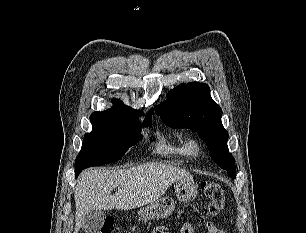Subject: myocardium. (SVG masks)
Instances as JSON below:
<instances>
[{
	"instance_id": "obj_1",
	"label": "myocardium",
	"mask_w": 306,
	"mask_h": 233,
	"mask_svg": "<svg viewBox=\"0 0 306 233\" xmlns=\"http://www.w3.org/2000/svg\"><path fill=\"white\" fill-rule=\"evenodd\" d=\"M202 146L197 138L190 137L185 142V152L188 156L196 157L200 155Z\"/></svg>"
}]
</instances>
